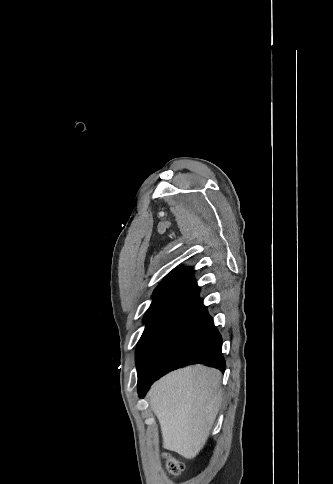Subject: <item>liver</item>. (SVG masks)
I'll return each mask as SVG.
<instances>
[{
	"instance_id": "1",
	"label": "liver",
	"mask_w": 333,
	"mask_h": 484,
	"mask_svg": "<svg viewBox=\"0 0 333 484\" xmlns=\"http://www.w3.org/2000/svg\"><path fill=\"white\" fill-rule=\"evenodd\" d=\"M221 372L202 365L172 372L149 392L163 447L193 459L205 445L221 406Z\"/></svg>"
}]
</instances>
